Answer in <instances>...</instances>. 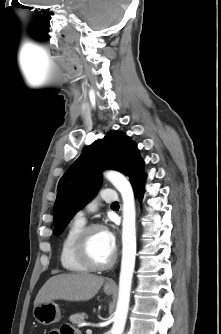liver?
Segmentation results:
<instances>
[{
	"mask_svg": "<svg viewBox=\"0 0 221 334\" xmlns=\"http://www.w3.org/2000/svg\"><path fill=\"white\" fill-rule=\"evenodd\" d=\"M104 283V278L89 273L60 274L51 277L39 290L34 307L53 300L87 301Z\"/></svg>",
	"mask_w": 221,
	"mask_h": 334,
	"instance_id": "liver-1",
	"label": "liver"
}]
</instances>
